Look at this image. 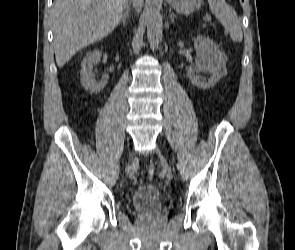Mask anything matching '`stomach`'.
<instances>
[{"instance_id": "1", "label": "stomach", "mask_w": 295, "mask_h": 250, "mask_svg": "<svg viewBox=\"0 0 295 250\" xmlns=\"http://www.w3.org/2000/svg\"><path fill=\"white\" fill-rule=\"evenodd\" d=\"M176 11L192 13L201 7L203 0H166Z\"/></svg>"}]
</instances>
